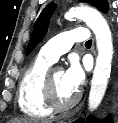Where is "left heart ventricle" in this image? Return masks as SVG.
<instances>
[{
    "label": "left heart ventricle",
    "instance_id": "obj_1",
    "mask_svg": "<svg viewBox=\"0 0 118 123\" xmlns=\"http://www.w3.org/2000/svg\"><path fill=\"white\" fill-rule=\"evenodd\" d=\"M55 92L58 100L62 103L69 101L76 92L71 90L64 81V73L61 70H55L52 75Z\"/></svg>",
    "mask_w": 118,
    "mask_h": 123
}]
</instances>
